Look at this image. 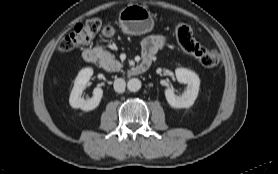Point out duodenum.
Masks as SVG:
<instances>
[{"instance_id": "obj_1", "label": "duodenum", "mask_w": 278, "mask_h": 174, "mask_svg": "<svg viewBox=\"0 0 278 174\" xmlns=\"http://www.w3.org/2000/svg\"><path fill=\"white\" fill-rule=\"evenodd\" d=\"M83 58L87 63H95L98 59V51L95 49H86L83 52ZM152 59L149 57H145L140 61L138 64H136L132 69H131V74L133 75H138L141 73H144L149 69L151 66Z\"/></svg>"}]
</instances>
